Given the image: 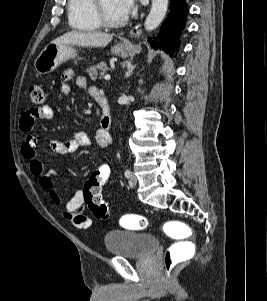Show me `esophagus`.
<instances>
[{
  "label": "esophagus",
  "mask_w": 267,
  "mask_h": 301,
  "mask_svg": "<svg viewBox=\"0 0 267 301\" xmlns=\"http://www.w3.org/2000/svg\"><path fill=\"white\" fill-rule=\"evenodd\" d=\"M141 34V28H140V24H137L136 26H134L131 31H130V35L132 37H139Z\"/></svg>",
  "instance_id": "34e87169"
}]
</instances>
